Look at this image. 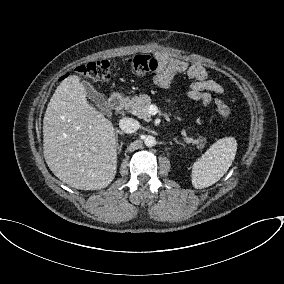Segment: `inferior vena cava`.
Listing matches in <instances>:
<instances>
[{"mask_svg": "<svg viewBox=\"0 0 284 284\" xmlns=\"http://www.w3.org/2000/svg\"><path fill=\"white\" fill-rule=\"evenodd\" d=\"M120 129L125 133H134L139 128V123L133 118H122L119 121Z\"/></svg>", "mask_w": 284, "mask_h": 284, "instance_id": "1", "label": "inferior vena cava"}]
</instances>
